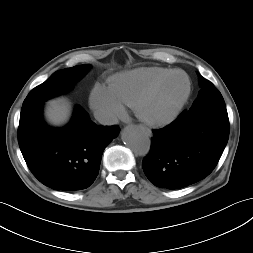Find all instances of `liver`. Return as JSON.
I'll return each instance as SVG.
<instances>
[{
	"label": "liver",
	"mask_w": 253,
	"mask_h": 253,
	"mask_svg": "<svg viewBox=\"0 0 253 253\" xmlns=\"http://www.w3.org/2000/svg\"><path fill=\"white\" fill-rule=\"evenodd\" d=\"M70 115V108L64 100H53L46 111L47 120L56 126L67 122Z\"/></svg>",
	"instance_id": "obj_1"
}]
</instances>
